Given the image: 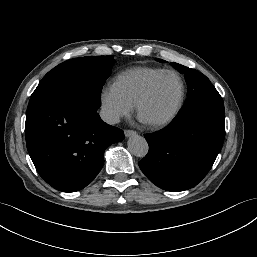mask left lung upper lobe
Wrapping results in <instances>:
<instances>
[{
  "mask_svg": "<svg viewBox=\"0 0 257 257\" xmlns=\"http://www.w3.org/2000/svg\"><path fill=\"white\" fill-rule=\"evenodd\" d=\"M158 61L166 62L161 59ZM171 65L185 75L188 86V98L182 111L192 110L206 102L222 99L218 91L205 75L181 64L171 63Z\"/></svg>",
  "mask_w": 257,
  "mask_h": 257,
  "instance_id": "left-lung-upper-lobe-1",
  "label": "left lung upper lobe"
}]
</instances>
